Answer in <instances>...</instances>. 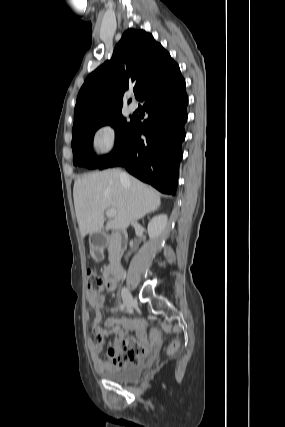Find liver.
<instances>
[{"instance_id": "liver-1", "label": "liver", "mask_w": 285, "mask_h": 427, "mask_svg": "<svg viewBox=\"0 0 285 427\" xmlns=\"http://www.w3.org/2000/svg\"><path fill=\"white\" fill-rule=\"evenodd\" d=\"M120 173L109 169L85 174L75 181L74 206L83 237L101 231L106 209L116 210L106 225L108 231L125 229L160 206V196L154 189L130 175L121 180Z\"/></svg>"}]
</instances>
